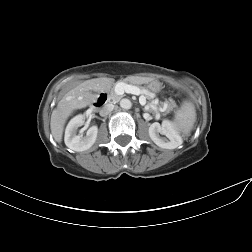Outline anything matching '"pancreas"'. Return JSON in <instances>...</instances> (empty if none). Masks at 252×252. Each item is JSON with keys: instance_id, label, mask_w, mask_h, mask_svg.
Instances as JSON below:
<instances>
[{"instance_id": "obj_1", "label": "pancreas", "mask_w": 252, "mask_h": 252, "mask_svg": "<svg viewBox=\"0 0 252 252\" xmlns=\"http://www.w3.org/2000/svg\"><path fill=\"white\" fill-rule=\"evenodd\" d=\"M119 83H120V82H117L116 85L119 84ZM140 88L143 89L144 92H145V91H148V92L151 93V95H155V94L152 93L150 90H148V89H146V88H144V87H140ZM110 96H111L112 100H114V101H117V100H119V99L121 98V96H119V95L116 94V92H115L114 89L111 90ZM162 103L167 104V105L169 106V108H170V111L173 110V108L175 107V104H174L173 102L165 101V102H162Z\"/></svg>"}]
</instances>
